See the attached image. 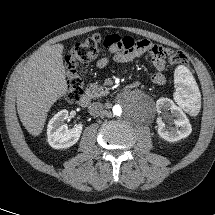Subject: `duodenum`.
<instances>
[{"label":"duodenum","instance_id":"obj_1","mask_svg":"<svg viewBox=\"0 0 215 215\" xmlns=\"http://www.w3.org/2000/svg\"><path fill=\"white\" fill-rule=\"evenodd\" d=\"M137 87V83H131L130 85L127 86L126 91H130L131 89H134ZM91 102V96L87 93L83 94L81 98L79 99V105L81 107H87Z\"/></svg>","mask_w":215,"mask_h":215}]
</instances>
